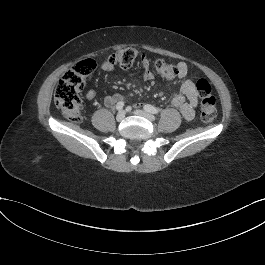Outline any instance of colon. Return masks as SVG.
Listing matches in <instances>:
<instances>
[{
  "instance_id": "colon-1",
  "label": "colon",
  "mask_w": 265,
  "mask_h": 265,
  "mask_svg": "<svg viewBox=\"0 0 265 265\" xmlns=\"http://www.w3.org/2000/svg\"><path fill=\"white\" fill-rule=\"evenodd\" d=\"M137 52L133 48H123L113 53L108 62L113 67L127 69L133 65ZM96 68L93 59H84L71 67L60 79L55 90V104L70 121H82V100L80 92L87 79ZM158 75L164 79H174L178 75L177 66L164 60L155 62ZM196 90L200 98L201 119L211 123L216 118V99L212 95L211 87L205 79L196 77Z\"/></svg>"
}]
</instances>
